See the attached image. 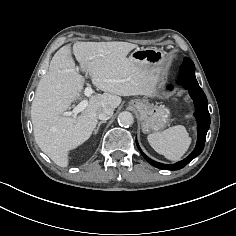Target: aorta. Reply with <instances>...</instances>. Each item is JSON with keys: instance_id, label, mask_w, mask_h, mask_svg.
<instances>
[{"instance_id": "aorta-1", "label": "aorta", "mask_w": 236, "mask_h": 236, "mask_svg": "<svg viewBox=\"0 0 236 236\" xmlns=\"http://www.w3.org/2000/svg\"><path fill=\"white\" fill-rule=\"evenodd\" d=\"M118 123L121 126L128 127L134 123V117L132 113L123 111L118 115Z\"/></svg>"}]
</instances>
